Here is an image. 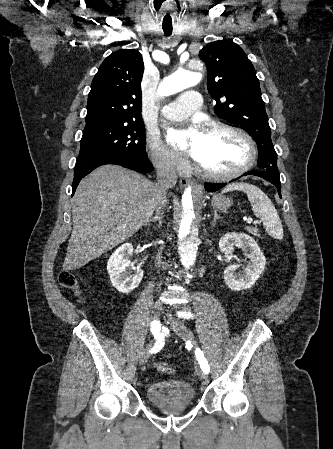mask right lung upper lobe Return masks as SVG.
<instances>
[{
    "instance_id": "1",
    "label": "right lung upper lobe",
    "mask_w": 333,
    "mask_h": 449,
    "mask_svg": "<svg viewBox=\"0 0 333 449\" xmlns=\"http://www.w3.org/2000/svg\"><path fill=\"white\" fill-rule=\"evenodd\" d=\"M143 59L135 49L119 50L101 64L88 95L86 126L142 121Z\"/></svg>"
}]
</instances>
